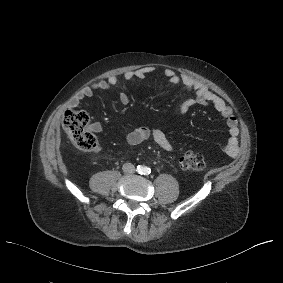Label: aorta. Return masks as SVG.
<instances>
[{
  "instance_id": "obj_1",
  "label": "aorta",
  "mask_w": 283,
  "mask_h": 283,
  "mask_svg": "<svg viewBox=\"0 0 283 283\" xmlns=\"http://www.w3.org/2000/svg\"><path fill=\"white\" fill-rule=\"evenodd\" d=\"M148 172V168L147 167H141L140 168V173H147Z\"/></svg>"
}]
</instances>
